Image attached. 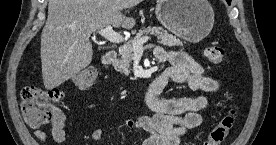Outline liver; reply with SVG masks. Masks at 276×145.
I'll return each instance as SVG.
<instances>
[{"label":"liver","mask_w":276,"mask_h":145,"mask_svg":"<svg viewBox=\"0 0 276 145\" xmlns=\"http://www.w3.org/2000/svg\"><path fill=\"white\" fill-rule=\"evenodd\" d=\"M141 0H49L48 17L41 34L44 86L58 87L87 67L93 56L92 33L108 25L131 29L133 18L121 11Z\"/></svg>","instance_id":"liver-1"}]
</instances>
